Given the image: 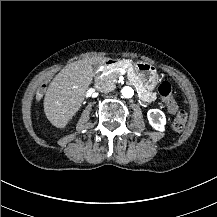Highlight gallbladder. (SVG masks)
<instances>
[{"mask_svg":"<svg viewBox=\"0 0 217 217\" xmlns=\"http://www.w3.org/2000/svg\"><path fill=\"white\" fill-rule=\"evenodd\" d=\"M96 68H97V66H96V65H94V66H93V72H95V71H96Z\"/></svg>","mask_w":217,"mask_h":217,"instance_id":"bac80fb5","label":"gallbladder"}]
</instances>
